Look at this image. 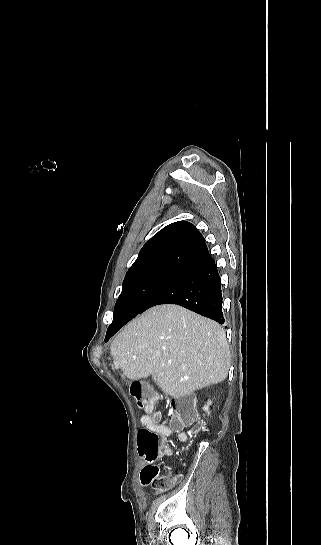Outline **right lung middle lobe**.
Wrapping results in <instances>:
<instances>
[{"label": "right lung middle lobe", "instance_id": "1", "mask_svg": "<svg viewBox=\"0 0 321 545\" xmlns=\"http://www.w3.org/2000/svg\"><path fill=\"white\" fill-rule=\"evenodd\" d=\"M175 269L171 266L155 265L128 271L114 308L113 322L135 317Z\"/></svg>", "mask_w": 321, "mask_h": 545}]
</instances>
